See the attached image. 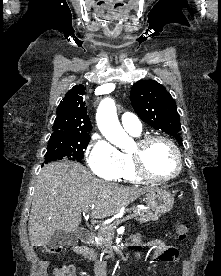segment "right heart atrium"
<instances>
[{"mask_svg": "<svg viewBox=\"0 0 221 276\" xmlns=\"http://www.w3.org/2000/svg\"><path fill=\"white\" fill-rule=\"evenodd\" d=\"M87 163L93 173L107 180H117L122 169V154L108 140L96 135L88 147Z\"/></svg>", "mask_w": 221, "mask_h": 276, "instance_id": "obj_1", "label": "right heart atrium"}]
</instances>
